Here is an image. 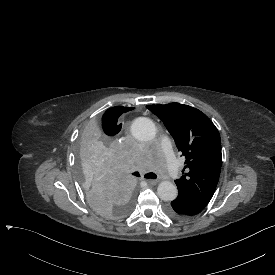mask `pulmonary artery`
Segmentation results:
<instances>
[{
    "label": "pulmonary artery",
    "instance_id": "1",
    "mask_svg": "<svg viewBox=\"0 0 275 275\" xmlns=\"http://www.w3.org/2000/svg\"><path fill=\"white\" fill-rule=\"evenodd\" d=\"M163 148H164V152H165V155L167 157V164L169 165L170 167V173L172 175H174L175 177H178L180 175V168H179V165L178 163L176 162V157H175V154L173 152V148L171 146V143L169 140H164L163 141Z\"/></svg>",
    "mask_w": 275,
    "mask_h": 275
}]
</instances>
